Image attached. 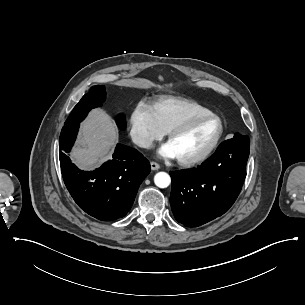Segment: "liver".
<instances>
[{"label":"liver","mask_w":305,"mask_h":305,"mask_svg":"<svg viewBox=\"0 0 305 305\" xmlns=\"http://www.w3.org/2000/svg\"><path fill=\"white\" fill-rule=\"evenodd\" d=\"M116 141L117 131L111 118L102 110H94L82 126L72 157L82 168H92L111 155Z\"/></svg>","instance_id":"1"}]
</instances>
